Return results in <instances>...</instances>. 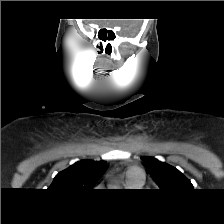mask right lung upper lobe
I'll return each instance as SVG.
<instances>
[{"mask_svg":"<svg viewBox=\"0 0 224 224\" xmlns=\"http://www.w3.org/2000/svg\"><path fill=\"white\" fill-rule=\"evenodd\" d=\"M105 171V161L82 160L59 172L50 188L60 191L90 190Z\"/></svg>","mask_w":224,"mask_h":224,"instance_id":"cb5924a9","label":"right lung upper lobe"}]
</instances>
